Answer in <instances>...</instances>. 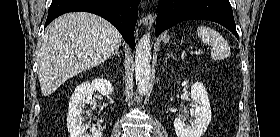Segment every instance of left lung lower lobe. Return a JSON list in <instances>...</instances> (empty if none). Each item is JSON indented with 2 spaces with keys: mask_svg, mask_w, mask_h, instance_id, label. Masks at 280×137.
I'll return each mask as SVG.
<instances>
[{
  "mask_svg": "<svg viewBox=\"0 0 280 137\" xmlns=\"http://www.w3.org/2000/svg\"><path fill=\"white\" fill-rule=\"evenodd\" d=\"M202 19L217 22L239 40L229 0H160L155 35L186 20Z\"/></svg>",
  "mask_w": 280,
  "mask_h": 137,
  "instance_id": "obj_1",
  "label": "left lung lower lobe"
}]
</instances>
